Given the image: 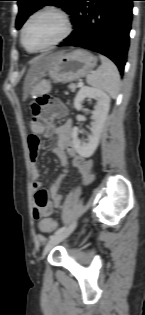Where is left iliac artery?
<instances>
[{"label":"left iliac artery","mask_w":145,"mask_h":315,"mask_svg":"<svg viewBox=\"0 0 145 315\" xmlns=\"http://www.w3.org/2000/svg\"><path fill=\"white\" fill-rule=\"evenodd\" d=\"M65 229H66L65 226L60 227V228L54 233V235L61 233V232L64 231ZM51 237H52V236H51Z\"/></svg>","instance_id":"1"}]
</instances>
